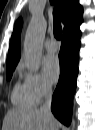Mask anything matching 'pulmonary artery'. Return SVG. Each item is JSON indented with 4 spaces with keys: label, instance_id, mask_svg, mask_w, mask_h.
Returning a JSON list of instances; mask_svg holds the SVG:
<instances>
[{
    "label": "pulmonary artery",
    "instance_id": "pulmonary-artery-1",
    "mask_svg": "<svg viewBox=\"0 0 95 130\" xmlns=\"http://www.w3.org/2000/svg\"><path fill=\"white\" fill-rule=\"evenodd\" d=\"M44 47L49 52H55L59 46L54 40H48L44 43Z\"/></svg>",
    "mask_w": 95,
    "mask_h": 130
}]
</instances>
